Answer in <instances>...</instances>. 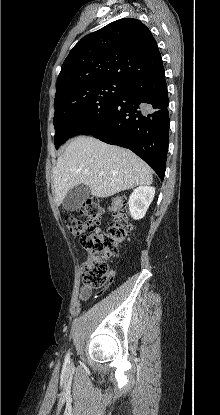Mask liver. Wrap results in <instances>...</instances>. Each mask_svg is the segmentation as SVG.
Listing matches in <instances>:
<instances>
[{"label": "liver", "instance_id": "liver-1", "mask_svg": "<svg viewBox=\"0 0 220 415\" xmlns=\"http://www.w3.org/2000/svg\"><path fill=\"white\" fill-rule=\"evenodd\" d=\"M152 181L151 168L132 151L85 136L70 142L53 170L57 206L78 184L87 185L92 195L104 198Z\"/></svg>", "mask_w": 220, "mask_h": 415}]
</instances>
